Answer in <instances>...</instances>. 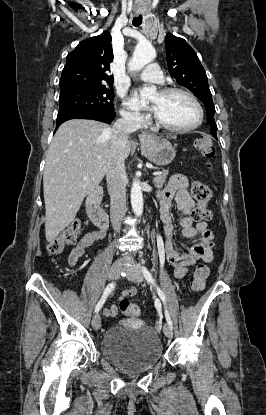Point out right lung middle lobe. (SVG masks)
<instances>
[{"label":"right lung middle lobe","mask_w":266,"mask_h":415,"mask_svg":"<svg viewBox=\"0 0 266 415\" xmlns=\"http://www.w3.org/2000/svg\"><path fill=\"white\" fill-rule=\"evenodd\" d=\"M92 86L60 92L59 110L83 109L114 112L112 86Z\"/></svg>","instance_id":"dd1d6c3e"}]
</instances>
